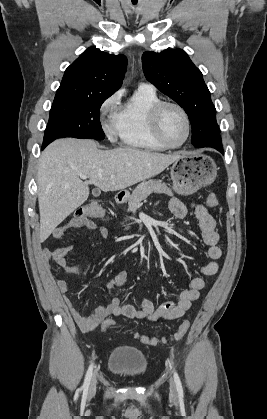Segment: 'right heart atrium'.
Masks as SVG:
<instances>
[{
    "label": "right heart atrium",
    "instance_id": "obj_1",
    "mask_svg": "<svg viewBox=\"0 0 267 419\" xmlns=\"http://www.w3.org/2000/svg\"><path fill=\"white\" fill-rule=\"evenodd\" d=\"M120 101V96L118 93H114L113 95L109 96L107 99L103 101L100 106V114L101 115H108L114 111ZM103 130L105 134L110 138L113 139L116 135V128L114 123V118L111 122L104 124Z\"/></svg>",
    "mask_w": 267,
    "mask_h": 419
}]
</instances>
